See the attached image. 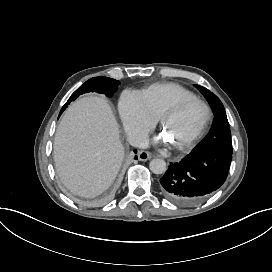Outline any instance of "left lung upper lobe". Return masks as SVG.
Returning <instances> with one entry per match:
<instances>
[{
	"label": "left lung upper lobe",
	"mask_w": 272,
	"mask_h": 272,
	"mask_svg": "<svg viewBox=\"0 0 272 272\" xmlns=\"http://www.w3.org/2000/svg\"><path fill=\"white\" fill-rule=\"evenodd\" d=\"M196 87L202 92L209 102L214 113V123L210 132L192 150V153L207 150H218L232 154L230 126L222 102L208 89L199 85H196Z\"/></svg>",
	"instance_id": "obj_1"
}]
</instances>
